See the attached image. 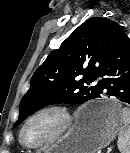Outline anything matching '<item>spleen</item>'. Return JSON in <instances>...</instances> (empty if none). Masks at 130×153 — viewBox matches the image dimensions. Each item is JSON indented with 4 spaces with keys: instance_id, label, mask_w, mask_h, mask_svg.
<instances>
[{
    "instance_id": "1",
    "label": "spleen",
    "mask_w": 130,
    "mask_h": 153,
    "mask_svg": "<svg viewBox=\"0 0 130 153\" xmlns=\"http://www.w3.org/2000/svg\"><path fill=\"white\" fill-rule=\"evenodd\" d=\"M122 125L119 128L118 149L120 153H130V110L122 108Z\"/></svg>"
}]
</instances>
